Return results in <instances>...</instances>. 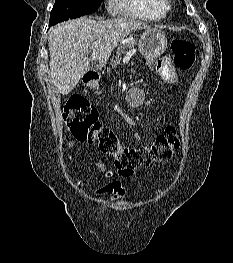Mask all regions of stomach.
<instances>
[{
    "label": "stomach",
    "instance_id": "obj_1",
    "mask_svg": "<svg viewBox=\"0 0 233 263\" xmlns=\"http://www.w3.org/2000/svg\"><path fill=\"white\" fill-rule=\"evenodd\" d=\"M167 47L165 33L156 28L147 29L139 39L138 49L148 63L160 57ZM95 86V84H93Z\"/></svg>",
    "mask_w": 233,
    "mask_h": 263
}]
</instances>
